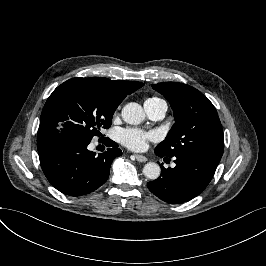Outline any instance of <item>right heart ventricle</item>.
<instances>
[{
	"mask_svg": "<svg viewBox=\"0 0 266 266\" xmlns=\"http://www.w3.org/2000/svg\"><path fill=\"white\" fill-rule=\"evenodd\" d=\"M160 99H161L160 97L152 96V97L147 98L145 102H147V101L148 102H157Z\"/></svg>",
	"mask_w": 266,
	"mask_h": 266,
	"instance_id": "1",
	"label": "right heart ventricle"
}]
</instances>
